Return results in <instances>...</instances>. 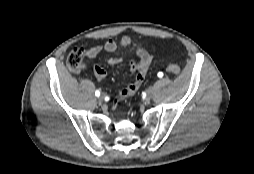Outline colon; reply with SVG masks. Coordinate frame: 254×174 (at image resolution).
<instances>
[{
    "instance_id": "obj_1",
    "label": "colon",
    "mask_w": 254,
    "mask_h": 174,
    "mask_svg": "<svg viewBox=\"0 0 254 174\" xmlns=\"http://www.w3.org/2000/svg\"><path fill=\"white\" fill-rule=\"evenodd\" d=\"M86 52L82 47L73 48L66 59V65L72 72H78L85 66ZM168 71L173 75H178L181 71L179 65L176 63L168 64Z\"/></svg>"
}]
</instances>
